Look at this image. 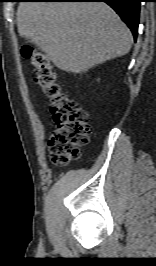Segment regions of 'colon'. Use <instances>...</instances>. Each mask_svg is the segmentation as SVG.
<instances>
[{"label":"colon","mask_w":156,"mask_h":266,"mask_svg":"<svg viewBox=\"0 0 156 266\" xmlns=\"http://www.w3.org/2000/svg\"><path fill=\"white\" fill-rule=\"evenodd\" d=\"M21 55L31 60L35 82L48 100L54 130L49 147L53 164L62 166L79 155V148L88 142L90 125L88 113L63 90L49 58L26 43Z\"/></svg>","instance_id":"obj_1"}]
</instances>
